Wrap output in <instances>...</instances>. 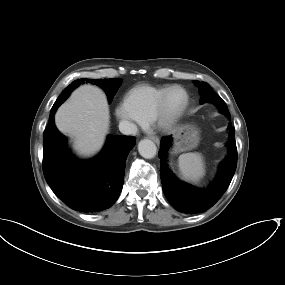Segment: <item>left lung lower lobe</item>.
I'll use <instances>...</instances> for the list:
<instances>
[{
    "label": "left lung lower lobe",
    "mask_w": 285,
    "mask_h": 285,
    "mask_svg": "<svg viewBox=\"0 0 285 285\" xmlns=\"http://www.w3.org/2000/svg\"><path fill=\"white\" fill-rule=\"evenodd\" d=\"M212 103L219 108L220 103L218 101ZM228 117L230 118V115ZM228 129L229 140L226 145L229 147V153L220 163L218 176L206 189H197L175 178L166 160L167 151L172 144V137L162 138L158 153L162 188L169 203L179 212L190 214L205 212L217 202L229 186L236 170L237 148L235 129L231 124H229Z\"/></svg>",
    "instance_id": "left-lung-lower-lobe-1"
}]
</instances>
